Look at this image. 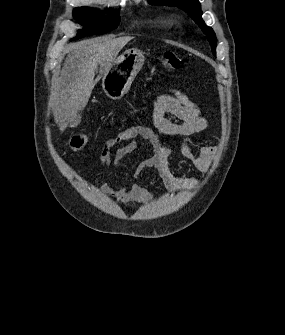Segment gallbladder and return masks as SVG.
Returning <instances> with one entry per match:
<instances>
[{
    "instance_id": "bac80fb5",
    "label": "gallbladder",
    "mask_w": 285,
    "mask_h": 335,
    "mask_svg": "<svg viewBox=\"0 0 285 335\" xmlns=\"http://www.w3.org/2000/svg\"><path fill=\"white\" fill-rule=\"evenodd\" d=\"M80 122H81V116H80V114H77V116H75V118H73V120H71L70 128H76V126H78V124H80Z\"/></svg>"
}]
</instances>
